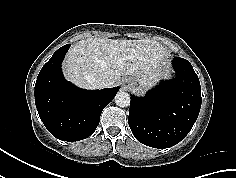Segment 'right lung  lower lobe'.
I'll return each instance as SVG.
<instances>
[{
  "label": "right lung lower lobe",
  "mask_w": 236,
  "mask_h": 178,
  "mask_svg": "<svg viewBox=\"0 0 236 178\" xmlns=\"http://www.w3.org/2000/svg\"><path fill=\"white\" fill-rule=\"evenodd\" d=\"M70 44L59 48L42 67L35 84V104L48 131L63 141H79L93 134L104 107L119 87L84 90L65 80L61 63Z\"/></svg>",
  "instance_id": "98d812e1"
}]
</instances>
